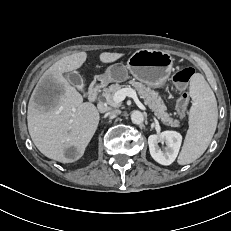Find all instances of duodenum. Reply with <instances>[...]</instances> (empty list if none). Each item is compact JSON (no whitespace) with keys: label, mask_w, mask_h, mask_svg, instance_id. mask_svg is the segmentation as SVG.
Returning a JSON list of instances; mask_svg holds the SVG:
<instances>
[{"label":"duodenum","mask_w":231,"mask_h":231,"mask_svg":"<svg viewBox=\"0 0 231 231\" xmlns=\"http://www.w3.org/2000/svg\"><path fill=\"white\" fill-rule=\"evenodd\" d=\"M105 86V81L102 78H95L90 84L88 90V100L95 102L101 89Z\"/></svg>","instance_id":"obj_1"}]
</instances>
